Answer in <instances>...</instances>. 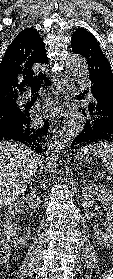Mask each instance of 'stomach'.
Segmentation results:
<instances>
[{
  "label": "stomach",
  "instance_id": "1",
  "mask_svg": "<svg viewBox=\"0 0 113 279\" xmlns=\"http://www.w3.org/2000/svg\"><path fill=\"white\" fill-rule=\"evenodd\" d=\"M89 156H90V154H85V153L80 152L77 158L79 161L87 162V161H89Z\"/></svg>",
  "mask_w": 113,
  "mask_h": 279
}]
</instances>
